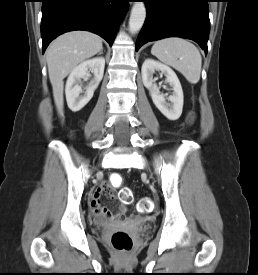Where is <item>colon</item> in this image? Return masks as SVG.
Instances as JSON below:
<instances>
[{
	"mask_svg": "<svg viewBox=\"0 0 258 275\" xmlns=\"http://www.w3.org/2000/svg\"><path fill=\"white\" fill-rule=\"evenodd\" d=\"M122 182H123V178L120 175L115 174L111 177V184L113 186H120ZM119 198L121 199V201L125 203L131 202L132 193L129 189L122 188L119 192ZM151 209H152V202L149 198L145 197L139 201L138 211L140 213H147L151 211ZM115 218H119V215L115 214ZM111 243L116 250H119L122 252H128L133 247L132 237L127 232L121 231V230L113 233V235L111 236Z\"/></svg>",
	"mask_w": 258,
	"mask_h": 275,
	"instance_id": "obj_1",
	"label": "colon"
}]
</instances>
